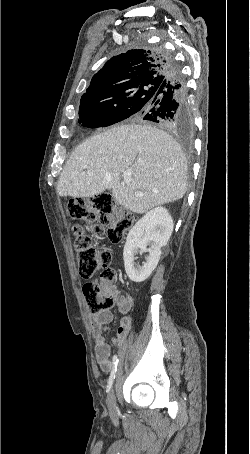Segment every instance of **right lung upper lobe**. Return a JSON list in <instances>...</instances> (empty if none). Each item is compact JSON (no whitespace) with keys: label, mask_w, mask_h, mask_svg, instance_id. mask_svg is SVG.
<instances>
[{"label":"right lung upper lobe","mask_w":250,"mask_h":454,"mask_svg":"<svg viewBox=\"0 0 250 454\" xmlns=\"http://www.w3.org/2000/svg\"><path fill=\"white\" fill-rule=\"evenodd\" d=\"M171 72L159 51L134 49L112 57L96 73L80 105L115 100L148 83L161 84Z\"/></svg>","instance_id":"obj_1"}]
</instances>
